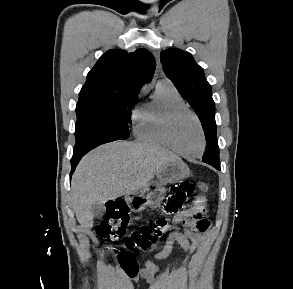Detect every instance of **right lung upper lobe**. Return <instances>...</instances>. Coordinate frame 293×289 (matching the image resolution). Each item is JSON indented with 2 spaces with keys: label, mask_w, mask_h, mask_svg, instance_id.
Wrapping results in <instances>:
<instances>
[{
  "label": "right lung upper lobe",
  "mask_w": 293,
  "mask_h": 289,
  "mask_svg": "<svg viewBox=\"0 0 293 289\" xmlns=\"http://www.w3.org/2000/svg\"><path fill=\"white\" fill-rule=\"evenodd\" d=\"M155 68V59L146 49L133 53L109 50L88 73L79 102L137 96L142 83L152 79Z\"/></svg>",
  "instance_id": "cb5924a9"
}]
</instances>
